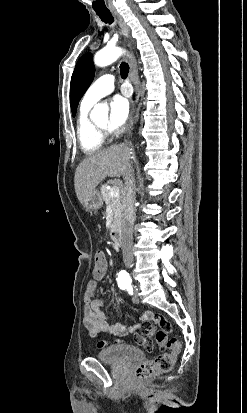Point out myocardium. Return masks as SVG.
<instances>
[{"label":"myocardium","instance_id":"obj_1","mask_svg":"<svg viewBox=\"0 0 247 413\" xmlns=\"http://www.w3.org/2000/svg\"><path fill=\"white\" fill-rule=\"evenodd\" d=\"M98 131L103 139L108 136V130L106 128H98Z\"/></svg>","mask_w":247,"mask_h":413}]
</instances>
